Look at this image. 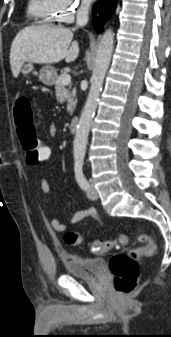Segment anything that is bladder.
<instances>
[{
	"label": "bladder",
	"instance_id": "1",
	"mask_svg": "<svg viewBox=\"0 0 171 337\" xmlns=\"http://www.w3.org/2000/svg\"><path fill=\"white\" fill-rule=\"evenodd\" d=\"M61 261L67 274L81 278H95L102 274L105 262L102 258L61 254Z\"/></svg>",
	"mask_w": 171,
	"mask_h": 337
}]
</instances>
